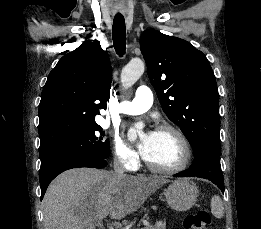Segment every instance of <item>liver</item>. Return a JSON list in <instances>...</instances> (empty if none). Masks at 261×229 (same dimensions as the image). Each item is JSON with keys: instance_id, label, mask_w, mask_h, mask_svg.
<instances>
[{"instance_id": "6515ba94", "label": "liver", "mask_w": 261, "mask_h": 229, "mask_svg": "<svg viewBox=\"0 0 261 229\" xmlns=\"http://www.w3.org/2000/svg\"><path fill=\"white\" fill-rule=\"evenodd\" d=\"M165 183L163 177L70 169L56 177L44 195V229H97L108 215L124 219Z\"/></svg>"}]
</instances>
